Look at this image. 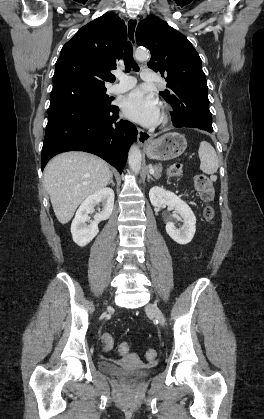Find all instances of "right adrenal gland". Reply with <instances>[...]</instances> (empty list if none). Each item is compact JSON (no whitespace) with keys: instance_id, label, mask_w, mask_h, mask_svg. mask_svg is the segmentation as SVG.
<instances>
[{"instance_id":"1","label":"right adrenal gland","mask_w":264,"mask_h":419,"mask_svg":"<svg viewBox=\"0 0 264 419\" xmlns=\"http://www.w3.org/2000/svg\"><path fill=\"white\" fill-rule=\"evenodd\" d=\"M109 184H112V186H115V183L113 182V175L111 176Z\"/></svg>"}]
</instances>
